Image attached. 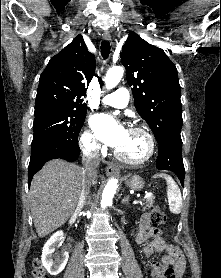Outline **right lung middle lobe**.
Listing matches in <instances>:
<instances>
[{
  "label": "right lung middle lobe",
  "mask_w": 221,
  "mask_h": 278,
  "mask_svg": "<svg viewBox=\"0 0 221 278\" xmlns=\"http://www.w3.org/2000/svg\"><path fill=\"white\" fill-rule=\"evenodd\" d=\"M87 110L65 106L35 107L34 136L31 146L53 136L77 139Z\"/></svg>",
  "instance_id": "1"
}]
</instances>
